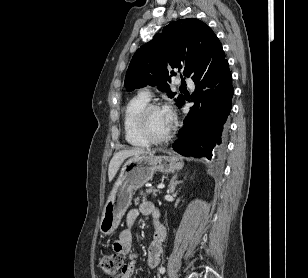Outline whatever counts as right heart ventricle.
<instances>
[{
	"label": "right heart ventricle",
	"instance_id": "e07e8e85",
	"mask_svg": "<svg viewBox=\"0 0 308 278\" xmlns=\"http://www.w3.org/2000/svg\"><path fill=\"white\" fill-rule=\"evenodd\" d=\"M149 103V100L141 94L131 98L123 110V129L125 139L129 145L136 148H144L150 145L138 131L136 126V116L138 112Z\"/></svg>",
	"mask_w": 308,
	"mask_h": 278
}]
</instances>
